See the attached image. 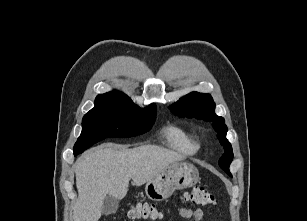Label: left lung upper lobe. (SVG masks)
Wrapping results in <instances>:
<instances>
[{"label": "left lung upper lobe", "instance_id": "obj_1", "mask_svg": "<svg viewBox=\"0 0 307 221\" xmlns=\"http://www.w3.org/2000/svg\"><path fill=\"white\" fill-rule=\"evenodd\" d=\"M171 111L181 117H196L206 121H213L218 132L220 143L224 146L225 153L219 160V166L229 175V165L233 159V151L230 142L226 138L227 127L223 117L215 114V103L209 94L192 92L170 107Z\"/></svg>", "mask_w": 307, "mask_h": 221}]
</instances>
